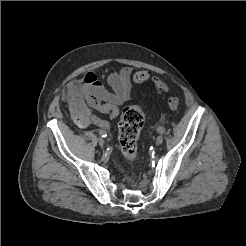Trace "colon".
<instances>
[{
    "mask_svg": "<svg viewBox=\"0 0 246 246\" xmlns=\"http://www.w3.org/2000/svg\"><path fill=\"white\" fill-rule=\"evenodd\" d=\"M150 78L159 93L163 94L168 91L167 84L161 78L151 77V74L146 70L137 71L133 75L134 82L138 84L144 83ZM167 105L170 110L177 111L180 100L178 97L170 96L167 99ZM144 119V113L139 106L131 105L122 110L119 122V144L124 158L130 163L135 162L138 157L137 141Z\"/></svg>",
    "mask_w": 246,
    "mask_h": 246,
    "instance_id": "colon-1",
    "label": "colon"
}]
</instances>
